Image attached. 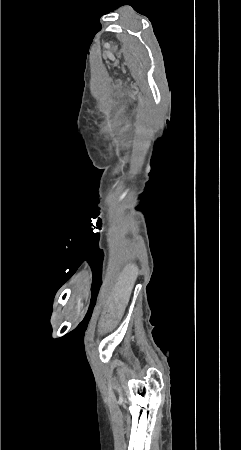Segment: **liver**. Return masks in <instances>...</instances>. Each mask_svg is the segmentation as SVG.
<instances>
[{
  "mask_svg": "<svg viewBox=\"0 0 241 450\" xmlns=\"http://www.w3.org/2000/svg\"><path fill=\"white\" fill-rule=\"evenodd\" d=\"M138 274L139 270L135 264L124 266L123 272H121L113 288L112 298L115 302H121L123 306L128 304Z\"/></svg>",
  "mask_w": 241,
  "mask_h": 450,
  "instance_id": "6515ba94",
  "label": "liver"
}]
</instances>
